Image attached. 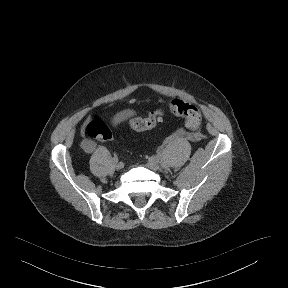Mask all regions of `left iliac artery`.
Wrapping results in <instances>:
<instances>
[{"instance_id": "1", "label": "left iliac artery", "mask_w": 288, "mask_h": 288, "mask_svg": "<svg viewBox=\"0 0 288 288\" xmlns=\"http://www.w3.org/2000/svg\"><path fill=\"white\" fill-rule=\"evenodd\" d=\"M160 156H161L160 154H157V155L155 156V158L159 159Z\"/></svg>"}]
</instances>
